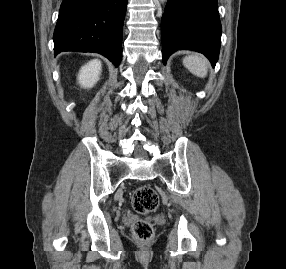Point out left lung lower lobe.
<instances>
[{"label":"left lung lower lobe","mask_w":286,"mask_h":269,"mask_svg":"<svg viewBox=\"0 0 286 269\" xmlns=\"http://www.w3.org/2000/svg\"><path fill=\"white\" fill-rule=\"evenodd\" d=\"M161 32L163 63L173 52L189 49L204 54L215 66L221 42L217 0H168Z\"/></svg>","instance_id":"obj_1"}]
</instances>
